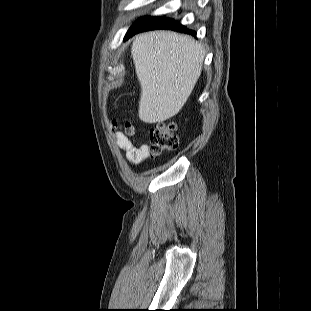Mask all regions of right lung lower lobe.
Returning a JSON list of instances; mask_svg holds the SVG:
<instances>
[{
    "label": "right lung lower lobe",
    "instance_id": "1",
    "mask_svg": "<svg viewBox=\"0 0 311 311\" xmlns=\"http://www.w3.org/2000/svg\"><path fill=\"white\" fill-rule=\"evenodd\" d=\"M158 29H169L196 36L195 31L187 29L186 27H184L179 22L173 19L146 16L134 22V24L128 30L125 36V40L137 33Z\"/></svg>",
    "mask_w": 311,
    "mask_h": 311
}]
</instances>
